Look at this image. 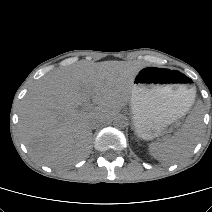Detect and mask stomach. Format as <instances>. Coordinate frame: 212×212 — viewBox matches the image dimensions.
Segmentation results:
<instances>
[{
	"label": "stomach",
	"mask_w": 212,
	"mask_h": 212,
	"mask_svg": "<svg viewBox=\"0 0 212 212\" xmlns=\"http://www.w3.org/2000/svg\"><path fill=\"white\" fill-rule=\"evenodd\" d=\"M183 73L157 66H144L134 77L130 100L136 134L146 140L184 116L196 94Z\"/></svg>",
	"instance_id": "stomach-1"
}]
</instances>
